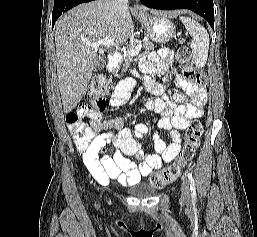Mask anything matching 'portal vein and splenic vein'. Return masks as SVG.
Returning a JSON list of instances; mask_svg holds the SVG:
<instances>
[{
    "label": "portal vein and splenic vein",
    "mask_w": 257,
    "mask_h": 237,
    "mask_svg": "<svg viewBox=\"0 0 257 237\" xmlns=\"http://www.w3.org/2000/svg\"><path fill=\"white\" fill-rule=\"evenodd\" d=\"M84 43L86 46L91 47L92 49H98L100 46L117 47V44L114 43L110 38H104L94 42L85 41ZM141 48L142 44H138L134 48L130 49L128 53L130 56H135L139 53Z\"/></svg>",
    "instance_id": "obj_1"
}]
</instances>
